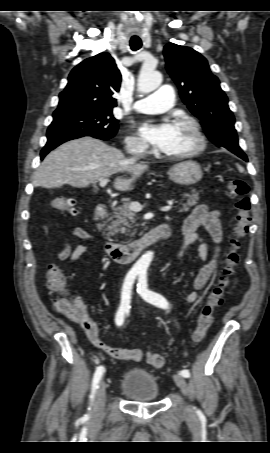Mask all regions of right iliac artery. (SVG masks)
<instances>
[{"mask_svg":"<svg viewBox=\"0 0 270 453\" xmlns=\"http://www.w3.org/2000/svg\"><path fill=\"white\" fill-rule=\"evenodd\" d=\"M137 272H129L125 278L123 287H122V293H121V304L120 307L116 313L115 317V322L117 326H121L124 322V316L127 314L130 310V303H131V293H132V286L134 283V280L137 276ZM104 371L103 366L97 367L94 377H93V382H92V393L90 395L91 400H94V396L96 393V389L98 388V383L102 377Z\"/></svg>","mask_w":270,"mask_h":453,"instance_id":"82829eb1","label":"right iliac artery"}]
</instances>
